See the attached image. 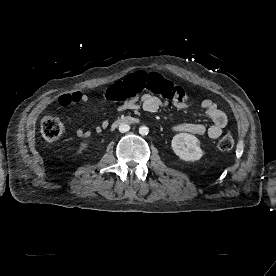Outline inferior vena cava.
I'll list each match as a JSON object with an SVG mask.
<instances>
[{"label": "inferior vena cava", "mask_w": 276, "mask_h": 276, "mask_svg": "<svg viewBox=\"0 0 276 276\" xmlns=\"http://www.w3.org/2000/svg\"><path fill=\"white\" fill-rule=\"evenodd\" d=\"M129 130H130V126L128 124H125V123L120 124L119 131L121 133L128 132Z\"/></svg>", "instance_id": "obj_1"}]
</instances>
